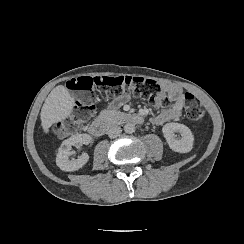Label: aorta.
<instances>
[{"label": "aorta", "mask_w": 244, "mask_h": 244, "mask_svg": "<svg viewBox=\"0 0 244 244\" xmlns=\"http://www.w3.org/2000/svg\"><path fill=\"white\" fill-rule=\"evenodd\" d=\"M124 132L128 134L135 132V125L133 123H126L124 125Z\"/></svg>", "instance_id": "1"}]
</instances>
